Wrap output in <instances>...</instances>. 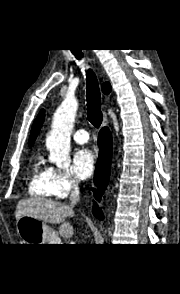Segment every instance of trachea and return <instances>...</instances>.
<instances>
[{"label":"trachea","mask_w":180,"mask_h":294,"mask_svg":"<svg viewBox=\"0 0 180 294\" xmlns=\"http://www.w3.org/2000/svg\"><path fill=\"white\" fill-rule=\"evenodd\" d=\"M71 52L78 58L83 57L81 50H71ZM87 116L90 123L99 128L102 123L103 116L101 111V96L98 86V81L92 70L87 72Z\"/></svg>","instance_id":"trachea-1"}]
</instances>
